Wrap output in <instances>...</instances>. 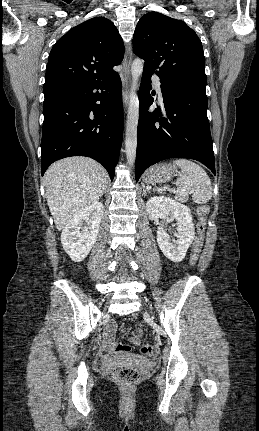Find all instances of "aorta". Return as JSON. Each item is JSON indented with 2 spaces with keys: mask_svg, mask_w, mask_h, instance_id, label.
<instances>
[{
  "mask_svg": "<svg viewBox=\"0 0 259 431\" xmlns=\"http://www.w3.org/2000/svg\"><path fill=\"white\" fill-rule=\"evenodd\" d=\"M143 72V61L135 59L131 66L132 85L126 123L125 151L128 164L132 166L135 162L137 148V126L139 118V103L136 97L139 77Z\"/></svg>",
  "mask_w": 259,
  "mask_h": 431,
  "instance_id": "762f6f07",
  "label": "aorta"
}]
</instances>
